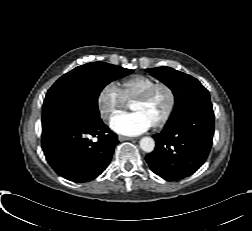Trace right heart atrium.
Instances as JSON below:
<instances>
[{
  "mask_svg": "<svg viewBox=\"0 0 252 231\" xmlns=\"http://www.w3.org/2000/svg\"><path fill=\"white\" fill-rule=\"evenodd\" d=\"M96 103L100 117L104 120H108L121 111L125 105V100L117 85L110 82L100 89L96 98Z\"/></svg>",
  "mask_w": 252,
  "mask_h": 231,
  "instance_id": "obj_1",
  "label": "right heart atrium"
}]
</instances>
